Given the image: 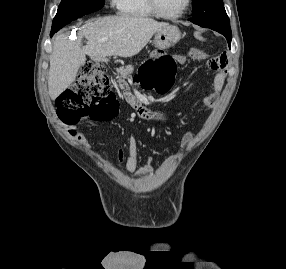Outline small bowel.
<instances>
[{"instance_id": "c3829d8e", "label": "small bowel", "mask_w": 286, "mask_h": 269, "mask_svg": "<svg viewBox=\"0 0 286 269\" xmlns=\"http://www.w3.org/2000/svg\"><path fill=\"white\" fill-rule=\"evenodd\" d=\"M175 60L179 64H185L188 61H207V66L209 69L215 71V76L213 80V89L215 94L219 93L223 87L226 75H227V55L221 54L216 57H210L208 53L199 49H190L186 54H178L175 56ZM122 93H133V88H122ZM124 99H136V94H124ZM205 107L212 111L215 107V96L210 95L204 100ZM129 106H134V110H137L138 120H153V123H168L170 120L169 111H156L155 108H147L146 105H142L141 101H129ZM191 139V135L186 133L184 136V142L188 143ZM81 141L86 144V139L81 137ZM138 155L139 147L138 142L134 136L128 138V150L127 157L124 160V154L122 149L118 152V159L120 163L125 164L127 172L130 174H135L138 170ZM152 157H148L142 168L143 174L152 173Z\"/></svg>"}]
</instances>
